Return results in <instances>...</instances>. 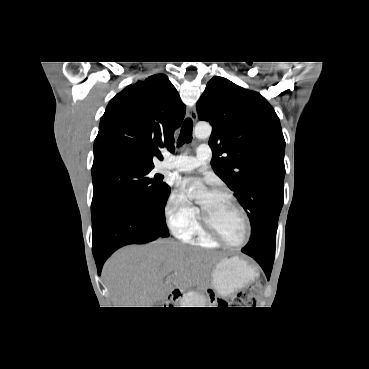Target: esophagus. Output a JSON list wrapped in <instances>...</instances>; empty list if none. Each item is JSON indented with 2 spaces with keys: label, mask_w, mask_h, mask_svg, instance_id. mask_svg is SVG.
Returning a JSON list of instances; mask_svg holds the SVG:
<instances>
[{
  "label": "esophagus",
  "mask_w": 369,
  "mask_h": 369,
  "mask_svg": "<svg viewBox=\"0 0 369 369\" xmlns=\"http://www.w3.org/2000/svg\"><path fill=\"white\" fill-rule=\"evenodd\" d=\"M187 115H188V117H190L192 119L193 122H196V120H197L196 107L192 106L191 108H189L188 111H187Z\"/></svg>",
  "instance_id": "1"
}]
</instances>
